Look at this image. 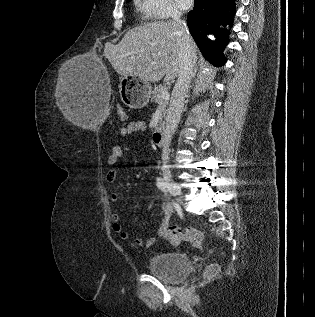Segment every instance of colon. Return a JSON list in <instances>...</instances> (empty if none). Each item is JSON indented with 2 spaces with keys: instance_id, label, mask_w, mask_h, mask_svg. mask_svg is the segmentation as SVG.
I'll return each instance as SVG.
<instances>
[{
  "instance_id": "obj_1",
  "label": "colon",
  "mask_w": 315,
  "mask_h": 317,
  "mask_svg": "<svg viewBox=\"0 0 315 317\" xmlns=\"http://www.w3.org/2000/svg\"><path fill=\"white\" fill-rule=\"evenodd\" d=\"M119 115L122 119L126 118V112L123 108L119 109ZM164 237L168 242L171 243H180L182 241H186L197 248H202L203 246V234L193 227H186L182 229L177 226H169L164 233ZM218 273L219 266L217 264H211L205 270L204 278H213Z\"/></svg>"
}]
</instances>
